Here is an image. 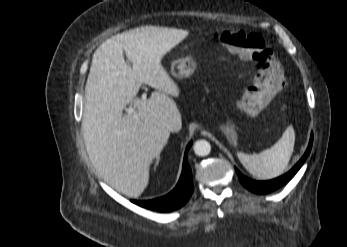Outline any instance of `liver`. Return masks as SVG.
Segmentation results:
<instances>
[{
	"mask_svg": "<svg viewBox=\"0 0 347 247\" xmlns=\"http://www.w3.org/2000/svg\"><path fill=\"white\" fill-rule=\"evenodd\" d=\"M187 35L182 29L146 26L112 36L93 54L82 121L86 150L99 175L129 197L145 190L153 159L170 132L182 127L177 105L168 96L178 97L180 90L161 60ZM143 83L161 93L140 103L136 95ZM129 103L135 113L123 115ZM172 121L174 129L167 131L164 123Z\"/></svg>",
	"mask_w": 347,
	"mask_h": 247,
	"instance_id": "obj_1",
	"label": "liver"
}]
</instances>
